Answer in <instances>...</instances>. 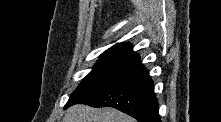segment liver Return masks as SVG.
<instances>
[{"mask_svg":"<svg viewBox=\"0 0 221 122\" xmlns=\"http://www.w3.org/2000/svg\"><path fill=\"white\" fill-rule=\"evenodd\" d=\"M62 122H135V120L114 108H93L79 104L66 111Z\"/></svg>","mask_w":221,"mask_h":122,"instance_id":"6515ba94","label":"liver"}]
</instances>
